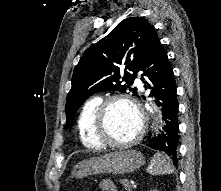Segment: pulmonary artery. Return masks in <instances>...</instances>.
<instances>
[{"label": "pulmonary artery", "instance_id": "obj_1", "mask_svg": "<svg viewBox=\"0 0 221 191\" xmlns=\"http://www.w3.org/2000/svg\"><path fill=\"white\" fill-rule=\"evenodd\" d=\"M135 84L138 86V87H142V83L139 79H136L135 80Z\"/></svg>", "mask_w": 221, "mask_h": 191}]
</instances>
